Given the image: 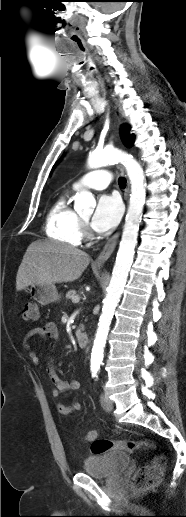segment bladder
<instances>
[{"mask_svg": "<svg viewBox=\"0 0 186 517\" xmlns=\"http://www.w3.org/2000/svg\"><path fill=\"white\" fill-rule=\"evenodd\" d=\"M131 456L121 451L105 452L85 460L84 473L99 479L119 476L129 466Z\"/></svg>", "mask_w": 186, "mask_h": 517, "instance_id": "bladder-1", "label": "bladder"}]
</instances>
